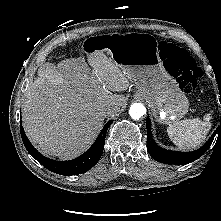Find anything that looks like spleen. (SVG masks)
<instances>
[{
    "instance_id": "3e777b00",
    "label": "spleen",
    "mask_w": 221,
    "mask_h": 221,
    "mask_svg": "<svg viewBox=\"0 0 221 221\" xmlns=\"http://www.w3.org/2000/svg\"><path fill=\"white\" fill-rule=\"evenodd\" d=\"M212 116L205 114L202 119H186L175 122L167 127L171 141L181 149L189 150L198 147L211 129Z\"/></svg>"
}]
</instances>
